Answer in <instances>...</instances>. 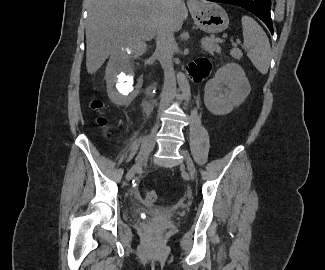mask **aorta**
<instances>
[{"label": "aorta", "instance_id": "762f6f07", "mask_svg": "<svg viewBox=\"0 0 325 270\" xmlns=\"http://www.w3.org/2000/svg\"><path fill=\"white\" fill-rule=\"evenodd\" d=\"M177 81H178V85H179V88H180L183 96L188 101L191 96V90H190V85H189V82H188L185 74L182 72H178L177 73Z\"/></svg>", "mask_w": 325, "mask_h": 270}]
</instances>
